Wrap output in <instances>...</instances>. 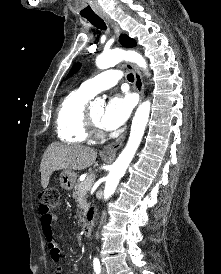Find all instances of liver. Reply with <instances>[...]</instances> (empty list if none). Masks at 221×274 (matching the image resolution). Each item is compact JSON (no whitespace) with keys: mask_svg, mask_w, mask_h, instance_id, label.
Here are the masks:
<instances>
[{"mask_svg":"<svg viewBox=\"0 0 221 274\" xmlns=\"http://www.w3.org/2000/svg\"><path fill=\"white\" fill-rule=\"evenodd\" d=\"M97 158L96 150L84 146L52 143L44 152L40 164L41 185L47 188L50 176L58 170H84Z\"/></svg>","mask_w":221,"mask_h":274,"instance_id":"1","label":"liver"}]
</instances>
